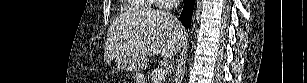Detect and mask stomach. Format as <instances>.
I'll return each instance as SVG.
<instances>
[{"label":"stomach","mask_w":307,"mask_h":83,"mask_svg":"<svg viewBox=\"0 0 307 83\" xmlns=\"http://www.w3.org/2000/svg\"><path fill=\"white\" fill-rule=\"evenodd\" d=\"M115 64L121 70L138 71L146 67L147 59L120 55L116 57Z\"/></svg>","instance_id":"obj_1"}]
</instances>
